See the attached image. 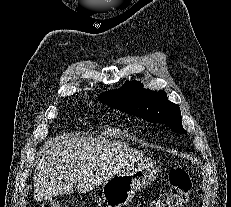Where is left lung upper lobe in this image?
Wrapping results in <instances>:
<instances>
[{"label": "left lung upper lobe", "instance_id": "5c2ea615", "mask_svg": "<svg viewBox=\"0 0 231 207\" xmlns=\"http://www.w3.org/2000/svg\"><path fill=\"white\" fill-rule=\"evenodd\" d=\"M99 99L122 112L152 123H163L177 133H186L179 106L168 101L164 91H151L140 82L127 81L119 90L100 94Z\"/></svg>", "mask_w": 231, "mask_h": 207}]
</instances>
